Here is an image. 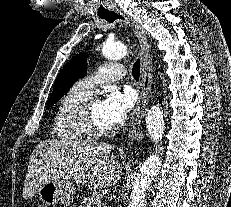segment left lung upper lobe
I'll return each mask as SVG.
<instances>
[{
	"mask_svg": "<svg viewBox=\"0 0 231 207\" xmlns=\"http://www.w3.org/2000/svg\"><path fill=\"white\" fill-rule=\"evenodd\" d=\"M87 56V54L76 55L63 67L55 80L48 106L58 102L64 93L72 87L73 83L86 74Z\"/></svg>",
	"mask_w": 231,
	"mask_h": 207,
	"instance_id": "1",
	"label": "left lung upper lobe"
}]
</instances>
